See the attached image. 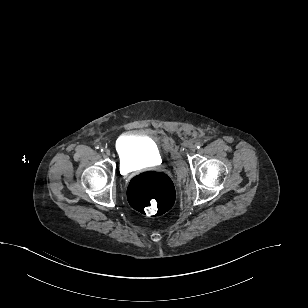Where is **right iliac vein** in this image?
Here are the masks:
<instances>
[{
    "label": "right iliac vein",
    "mask_w": 308,
    "mask_h": 308,
    "mask_svg": "<svg viewBox=\"0 0 308 308\" xmlns=\"http://www.w3.org/2000/svg\"><path fill=\"white\" fill-rule=\"evenodd\" d=\"M104 153H105L106 155H110V150H109V149H105V150H104Z\"/></svg>",
    "instance_id": "1"
}]
</instances>
